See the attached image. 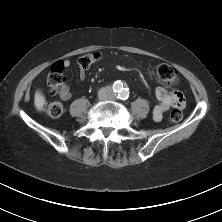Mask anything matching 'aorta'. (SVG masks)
Returning <instances> with one entry per match:
<instances>
[{
    "mask_svg": "<svg viewBox=\"0 0 222 222\" xmlns=\"http://www.w3.org/2000/svg\"><path fill=\"white\" fill-rule=\"evenodd\" d=\"M119 95L121 97H126L127 96V91L124 89V88H121L119 91H118Z\"/></svg>",
    "mask_w": 222,
    "mask_h": 222,
    "instance_id": "1",
    "label": "aorta"
}]
</instances>
